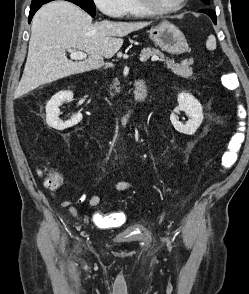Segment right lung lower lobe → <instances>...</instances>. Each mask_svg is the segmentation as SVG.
<instances>
[{
	"instance_id": "1",
	"label": "right lung lower lobe",
	"mask_w": 249,
	"mask_h": 294,
	"mask_svg": "<svg viewBox=\"0 0 249 294\" xmlns=\"http://www.w3.org/2000/svg\"><path fill=\"white\" fill-rule=\"evenodd\" d=\"M43 4L37 5V6H33L30 9V13H29V17H28V22H31V19L33 17V15L35 14V12L42 6Z\"/></svg>"
}]
</instances>
